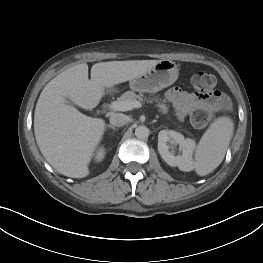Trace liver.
I'll list each match as a JSON object with an SVG mask.
<instances>
[{
	"label": "liver",
	"mask_w": 263,
	"mask_h": 263,
	"mask_svg": "<svg viewBox=\"0 0 263 263\" xmlns=\"http://www.w3.org/2000/svg\"><path fill=\"white\" fill-rule=\"evenodd\" d=\"M160 60H127L96 63L88 79V65L81 63L53 78L42 90L34 113L37 145L46 161L62 175L84 178L105 121L84 115L66 104L69 98L83 109L95 108L105 88L130 81Z\"/></svg>",
	"instance_id": "liver-1"
}]
</instances>
